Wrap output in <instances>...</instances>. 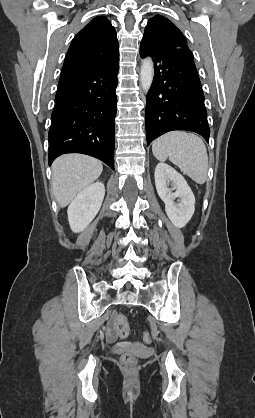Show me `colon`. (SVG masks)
<instances>
[{"label":"colon","mask_w":255,"mask_h":418,"mask_svg":"<svg viewBox=\"0 0 255 418\" xmlns=\"http://www.w3.org/2000/svg\"><path fill=\"white\" fill-rule=\"evenodd\" d=\"M113 324L120 337L124 338L128 336L129 326H128L126 317L123 314L121 313L116 314L114 317ZM143 340L147 343L151 342L152 340L151 334L149 332H144ZM136 361H137L136 357L131 353H124L121 356V362L127 366H134L136 364Z\"/></svg>","instance_id":"obj_1"}]
</instances>
